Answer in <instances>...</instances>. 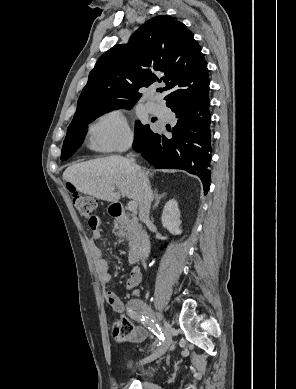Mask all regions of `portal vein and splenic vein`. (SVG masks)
Segmentation results:
<instances>
[{"label": "portal vein and splenic vein", "mask_w": 296, "mask_h": 389, "mask_svg": "<svg viewBox=\"0 0 296 389\" xmlns=\"http://www.w3.org/2000/svg\"><path fill=\"white\" fill-rule=\"evenodd\" d=\"M121 194H122L123 197H125L124 192L121 191ZM127 209H128L129 211H131V212H134V211H136V209H137V204H136L134 201H130V202L128 203V205H127Z\"/></svg>", "instance_id": "obj_1"}]
</instances>
